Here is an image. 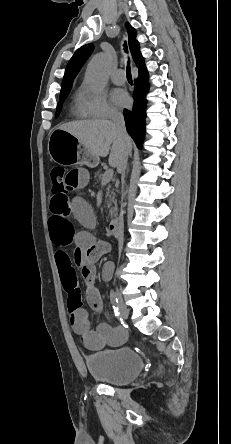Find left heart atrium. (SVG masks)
<instances>
[{"mask_svg":"<svg viewBox=\"0 0 231 444\" xmlns=\"http://www.w3.org/2000/svg\"><path fill=\"white\" fill-rule=\"evenodd\" d=\"M112 100L119 107H127L130 104L129 95L124 90L121 89L113 91Z\"/></svg>","mask_w":231,"mask_h":444,"instance_id":"39dd6f15","label":"left heart atrium"}]
</instances>
